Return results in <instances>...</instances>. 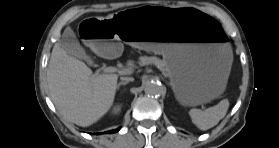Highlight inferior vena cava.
<instances>
[{
  "label": "inferior vena cava",
  "instance_id": "602c4592",
  "mask_svg": "<svg viewBox=\"0 0 279 148\" xmlns=\"http://www.w3.org/2000/svg\"><path fill=\"white\" fill-rule=\"evenodd\" d=\"M122 81H133L134 79L132 77H121L120 78Z\"/></svg>",
  "mask_w": 279,
  "mask_h": 148
}]
</instances>
